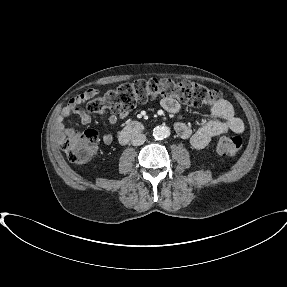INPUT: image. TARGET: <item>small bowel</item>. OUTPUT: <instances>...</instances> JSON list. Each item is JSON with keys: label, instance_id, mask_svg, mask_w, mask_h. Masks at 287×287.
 <instances>
[{"label": "small bowel", "instance_id": "1", "mask_svg": "<svg viewBox=\"0 0 287 287\" xmlns=\"http://www.w3.org/2000/svg\"><path fill=\"white\" fill-rule=\"evenodd\" d=\"M95 93L96 92L94 90H89L69 100L68 104L63 108L61 114L56 119V129L60 139L65 138L72 132L71 129L65 126L66 119L72 116H77L80 122L84 125L91 122V116L80 109L79 106L87 99L94 96ZM161 105L170 113H177L181 110V104L174 99H163L161 101ZM210 112L215 119L206 122L196 131H193L185 122H176L174 125L176 134L180 138L188 140L193 148L200 150L205 148L215 136H219L227 132H243V121L235 115L232 105L227 100L221 98L217 103L211 106ZM128 115L129 113L127 111H121L118 114H111L108 117V122L110 124H116L118 121L125 120ZM102 141L105 144H110L113 141V136L111 134H103Z\"/></svg>", "mask_w": 287, "mask_h": 287}]
</instances>
